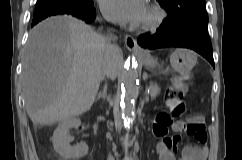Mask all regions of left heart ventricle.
I'll return each mask as SVG.
<instances>
[{"instance_id":"left-heart-ventricle-1","label":"left heart ventricle","mask_w":242,"mask_h":160,"mask_svg":"<svg viewBox=\"0 0 242 160\" xmlns=\"http://www.w3.org/2000/svg\"><path fill=\"white\" fill-rule=\"evenodd\" d=\"M151 16V12L149 10V7H146V10H145V13H144V16H143V19L141 22H144L146 20H148Z\"/></svg>"}]
</instances>
